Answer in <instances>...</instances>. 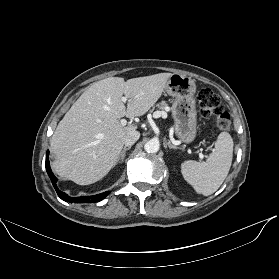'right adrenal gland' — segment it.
I'll use <instances>...</instances> for the list:
<instances>
[{
  "label": "right adrenal gland",
  "instance_id": "2a0ac1e0",
  "mask_svg": "<svg viewBox=\"0 0 279 279\" xmlns=\"http://www.w3.org/2000/svg\"><path fill=\"white\" fill-rule=\"evenodd\" d=\"M129 149H131V146L124 147V149L121 151V153H120V155H119V157H118V159H117L115 165H117L118 163H122V162H123L124 157H125V152H126L127 150H129Z\"/></svg>",
  "mask_w": 279,
  "mask_h": 279
}]
</instances>
